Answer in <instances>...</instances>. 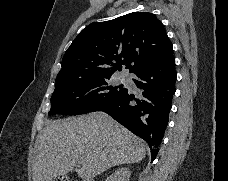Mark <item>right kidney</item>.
Segmentation results:
<instances>
[{
    "instance_id": "right-kidney-1",
    "label": "right kidney",
    "mask_w": 228,
    "mask_h": 181,
    "mask_svg": "<svg viewBox=\"0 0 228 181\" xmlns=\"http://www.w3.org/2000/svg\"><path fill=\"white\" fill-rule=\"evenodd\" d=\"M130 175V169H127V167H122V169H118V171L112 173V175H110L106 181H129Z\"/></svg>"
}]
</instances>
